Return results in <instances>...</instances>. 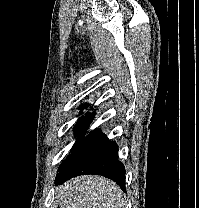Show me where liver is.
I'll return each instance as SVG.
<instances>
[{
  "instance_id": "obj_1",
  "label": "liver",
  "mask_w": 199,
  "mask_h": 208,
  "mask_svg": "<svg viewBox=\"0 0 199 208\" xmlns=\"http://www.w3.org/2000/svg\"><path fill=\"white\" fill-rule=\"evenodd\" d=\"M60 208H124L119 186L104 177L84 175L57 188Z\"/></svg>"
}]
</instances>
